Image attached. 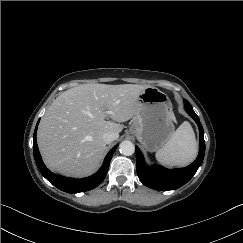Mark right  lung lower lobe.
<instances>
[{"mask_svg": "<svg viewBox=\"0 0 243 243\" xmlns=\"http://www.w3.org/2000/svg\"><path fill=\"white\" fill-rule=\"evenodd\" d=\"M39 123V121H38ZM38 123L36 125L34 135H33V154L35 162L40 170L41 174L54 186L58 189L65 191L67 193L75 194L78 192L89 191L94 189L99 184L102 183L106 174L108 172V168L110 165V161L114 151L116 150L117 146H115L106 156L103 165L99 169L97 173L94 175L84 178V179H73V178H66L60 175L54 174L50 172L46 166L44 165L41 155L38 150L37 141H36V132Z\"/></svg>", "mask_w": 243, "mask_h": 243, "instance_id": "1", "label": "right lung lower lobe"}]
</instances>
